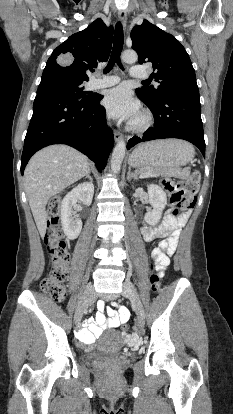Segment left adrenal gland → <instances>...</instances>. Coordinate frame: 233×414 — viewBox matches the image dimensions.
<instances>
[{"label": "left adrenal gland", "instance_id": "left-adrenal-gland-1", "mask_svg": "<svg viewBox=\"0 0 233 414\" xmlns=\"http://www.w3.org/2000/svg\"><path fill=\"white\" fill-rule=\"evenodd\" d=\"M132 178L136 180L137 175L131 171V167H128L127 180L130 181Z\"/></svg>", "mask_w": 233, "mask_h": 414}]
</instances>
